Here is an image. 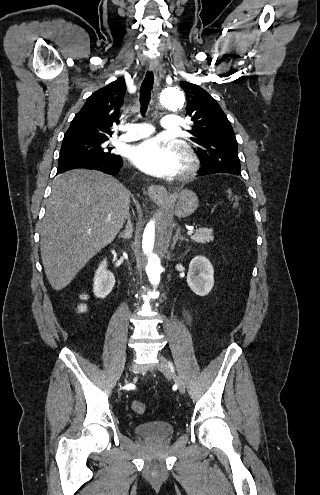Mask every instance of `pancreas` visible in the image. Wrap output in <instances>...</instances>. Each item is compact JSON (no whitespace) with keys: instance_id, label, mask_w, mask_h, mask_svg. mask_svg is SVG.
I'll return each instance as SVG.
<instances>
[{"instance_id":"cf45deb5","label":"pancreas","mask_w":320,"mask_h":495,"mask_svg":"<svg viewBox=\"0 0 320 495\" xmlns=\"http://www.w3.org/2000/svg\"><path fill=\"white\" fill-rule=\"evenodd\" d=\"M212 232V228H200L194 235L191 236V239L197 243L205 244L214 239Z\"/></svg>"}]
</instances>
